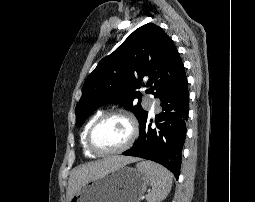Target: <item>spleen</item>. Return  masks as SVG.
Here are the masks:
<instances>
[{
    "label": "spleen",
    "mask_w": 255,
    "mask_h": 202,
    "mask_svg": "<svg viewBox=\"0 0 255 202\" xmlns=\"http://www.w3.org/2000/svg\"><path fill=\"white\" fill-rule=\"evenodd\" d=\"M137 169L143 172L149 179L152 190L147 195V202H161L169 194L173 176L166 168L151 161H141Z\"/></svg>",
    "instance_id": "1"
}]
</instances>
